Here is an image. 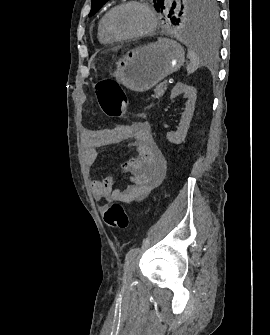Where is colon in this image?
<instances>
[{
	"mask_svg": "<svg viewBox=\"0 0 270 335\" xmlns=\"http://www.w3.org/2000/svg\"><path fill=\"white\" fill-rule=\"evenodd\" d=\"M93 92L98 99L100 110L110 118L119 117L129 109L126 95L114 81L107 80L94 85ZM103 217L110 228L117 230L126 229L131 222L130 216L118 202L106 205Z\"/></svg>",
	"mask_w": 270,
	"mask_h": 335,
	"instance_id": "1",
	"label": "colon"
}]
</instances>
